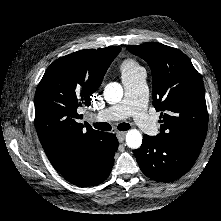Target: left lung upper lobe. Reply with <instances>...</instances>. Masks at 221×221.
I'll return each instance as SVG.
<instances>
[{"label":"left lung upper lobe","instance_id":"obj_1","mask_svg":"<svg viewBox=\"0 0 221 221\" xmlns=\"http://www.w3.org/2000/svg\"><path fill=\"white\" fill-rule=\"evenodd\" d=\"M127 49L151 68L152 104L162 112L157 136L200 152L207 133L208 113L204 85L190 59L182 51L157 42Z\"/></svg>","mask_w":221,"mask_h":221}]
</instances>
